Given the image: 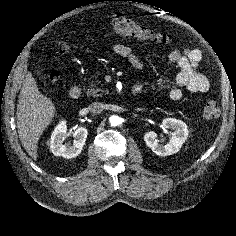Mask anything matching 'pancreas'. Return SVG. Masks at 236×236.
I'll list each match as a JSON object with an SVG mask.
<instances>
[{"label": "pancreas", "instance_id": "pancreas-1", "mask_svg": "<svg viewBox=\"0 0 236 236\" xmlns=\"http://www.w3.org/2000/svg\"><path fill=\"white\" fill-rule=\"evenodd\" d=\"M100 83L101 81L95 77V79L91 81V87L86 92L87 96L102 97L103 95L107 94L108 91L106 89L98 87Z\"/></svg>", "mask_w": 236, "mask_h": 236}]
</instances>
